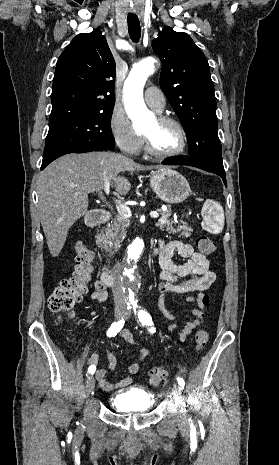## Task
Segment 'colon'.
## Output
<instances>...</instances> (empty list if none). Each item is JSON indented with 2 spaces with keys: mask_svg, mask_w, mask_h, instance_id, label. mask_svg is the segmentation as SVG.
<instances>
[{
  "mask_svg": "<svg viewBox=\"0 0 279 465\" xmlns=\"http://www.w3.org/2000/svg\"><path fill=\"white\" fill-rule=\"evenodd\" d=\"M196 244L199 251L208 255L215 250V243L208 235H200ZM76 265L71 277L63 279L60 284L53 290L48 299L49 309L58 314L72 315L73 308L79 302L83 295L88 291V285L92 279L94 271L93 252L87 247L78 243L76 245ZM202 304H209V296L203 295ZM203 316V313H201ZM209 340L208 332L200 327L195 333L196 348L202 349ZM168 376V370L162 367H154L150 370L148 380L153 386L162 383Z\"/></svg>",
  "mask_w": 279,
  "mask_h": 465,
  "instance_id": "obj_1",
  "label": "colon"
}]
</instances>
